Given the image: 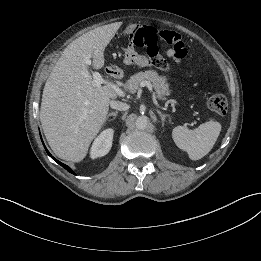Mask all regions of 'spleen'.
Masks as SVG:
<instances>
[{"mask_svg":"<svg viewBox=\"0 0 261 261\" xmlns=\"http://www.w3.org/2000/svg\"><path fill=\"white\" fill-rule=\"evenodd\" d=\"M220 131V123L210 120L194 130L177 126L172 131V138L180 149L188 153L191 160H199L211 151Z\"/></svg>","mask_w":261,"mask_h":261,"instance_id":"1","label":"spleen"}]
</instances>
